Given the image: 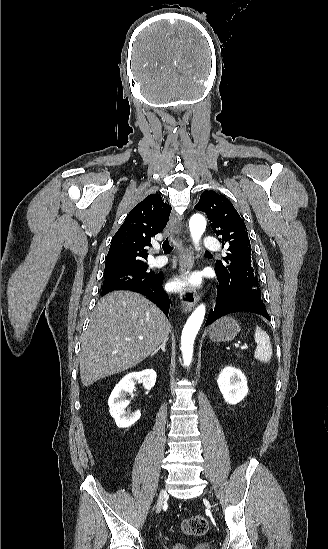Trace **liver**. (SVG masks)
I'll use <instances>...</instances> for the list:
<instances>
[{
	"label": "liver",
	"instance_id": "obj_1",
	"mask_svg": "<svg viewBox=\"0 0 328 549\" xmlns=\"http://www.w3.org/2000/svg\"><path fill=\"white\" fill-rule=\"evenodd\" d=\"M170 323L139 293L114 291L98 301L83 335L80 379L84 387L139 365L163 341ZM143 337V339H138Z\"/></svg>",
	"mask_w": 328,
	"mask_h": 549
}]
</instances>
